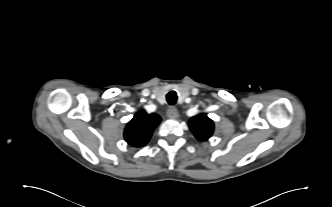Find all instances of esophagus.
I'll return each mask as SVG.
<instances>
[{
    "label": "esophagus",
    "mask_w": 332,
    "mask_h": 207,
    "mask_svg": "<svg viewBox=\"0 0 332 207\" xmlns=\"http://www.w3.org/2000/svg\"><path fill=\"white\" fill-rule=\"evenodd\" d=\"M167 116L171 119L177 118L178 117V110L175 107H170L167 110Z\"/></svg>",
    "instance_id": "34e87169"
}]
</instances>
